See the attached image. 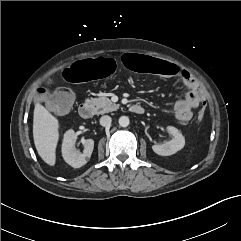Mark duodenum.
<instances>
[{"label":"duodenum","instance_id":"410a0bca","mask_svg":"<svg viewBox=\"0 0 241 241\" xmlns=\"http://www.w3.org/2000/svg\"><path fill=\"white\" fill-rule=\"evenodd\" d=\"M79 115L83 119H89L92 116V105L89 102H83L79 106ZM130 111L134 114H143L144 108L141 105L133 104L130 106Z\"/></svg>","mask_w":241,"mask_h":241}]
</instances>
